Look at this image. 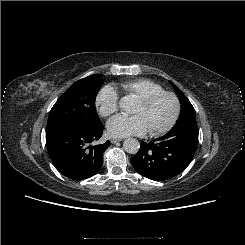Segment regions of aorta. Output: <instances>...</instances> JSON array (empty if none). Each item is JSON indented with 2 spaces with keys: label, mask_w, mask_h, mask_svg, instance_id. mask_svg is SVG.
<instances>
[{
  "label": "aorta",
  "mask_w": 245,
  "mask_h": 245,
  "mask_svg": "<svg viewBox=\"0 0 245 245\" xmlns=\"http://www.w3.org/2000/svg\"><path fill=\"white\" fill-rule=\"evenodd\" d=\"M126 104H127L126 97L122 98L120 103H119L120 108H122V109L125 108ZM123 148L129 154H136L140 148V144H139V141L137 139L127 138V139H125V141L123 143Z\"/></svg>",
  "instance_id": "obj_1"
}]
</instances>
